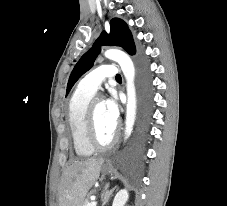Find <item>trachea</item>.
<instances>
[{
	"mask_svg": "<svg viewBox=\"0 0 227 206\" xmlns=\"http://www.w3.org/2000/svg\"><path fill=\"white\" fill-rule=\"evenodd\" d=\"M116 80H121V75H120V74H118V75L116 76Z\"/></svg>",
	"mask_w": 227,
	"mask_h": 206,
	"instance_id": "1",
	"label": "trachea"
}]
</instances>
